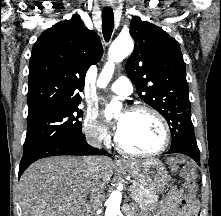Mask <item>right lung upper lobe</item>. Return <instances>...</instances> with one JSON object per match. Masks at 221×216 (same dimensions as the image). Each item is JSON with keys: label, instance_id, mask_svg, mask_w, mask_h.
<instances>
[{"label": "right lung upper lobe", "instance_id": "1", "mask_svg": "<svg viewBox=\"0 0 221 216\" xmlns=\"http://www.w3.org/2000/svg\"><path fill=\"white\" fill-rule=\"evenodd\" d=\"M99 36L79 15L44 31L35 42L29 66L28 116L80 103L85 75L102 57Z\"/></svg>", "mask_w": 221, "mask_h": 216}]
</instances>
